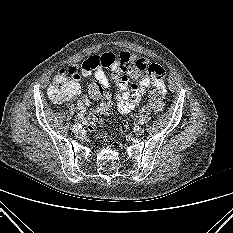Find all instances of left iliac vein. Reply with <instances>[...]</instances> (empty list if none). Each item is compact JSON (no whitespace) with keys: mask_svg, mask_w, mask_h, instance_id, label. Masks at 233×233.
Masks as SVG:
<instances>
[{"mask_svg":"<svg viewBox=\"0 0 233 233\" xmlns=\"http://www.w3.org/2000/svg\"><path fill=\"white\" fill-rule=\"evenodd\" d=\"M143 132H144V129H143V128H137V129L134 130V134H135L136 136L141 135Z\"/></svg>","mask_w":233,"mask_h":233,"instance_id":"left-iliac-vein-1","label":"left iliac vein"}]
</instances>
